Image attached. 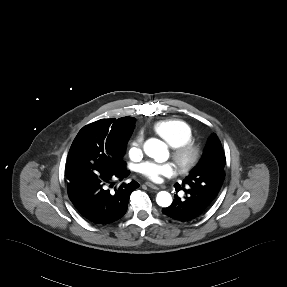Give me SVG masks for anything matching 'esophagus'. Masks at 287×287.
<instances>
[{"label":"esophagus","instance_id":"esophagus-1","mask_svg":"<svg viewBox=\"0 0 287 287\" xmlns=\"http://www.w3.org/2000/svg\"><path fill=\"white\" fill-rule=\"evenodd\" d=\"M146 185H147L148 187L154 189V190H157V191L160 189L159 187H157L156 185H154V184H152V183H150V182H146Z\"/></svg>","mask_w":287,"mask_h":287}]
</instances>
